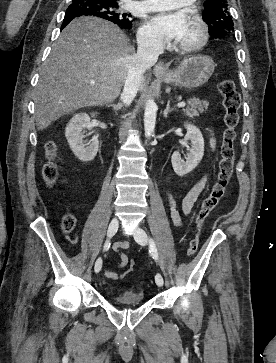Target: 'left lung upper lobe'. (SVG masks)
<instances>
[{
    "label": "left lung upper lobe",
    "instance_id": "5c2ea615",
    "mask_svg": "<svg viewBox=\"0 0 276 363\" xmlns=\"http://www.w3.org/2000/svg\"><path fill=\"white\" fill-rule=\"evenodd\" d=\"M203 18L209 25V34L212 37L224 38L234 32V23L227 0L205 1Z\"/></svg>",
    "mask_w": 276,
    "mask_h": 363
}]
</instances>
